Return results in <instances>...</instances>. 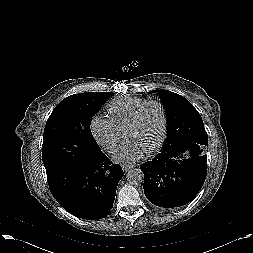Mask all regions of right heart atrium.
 I'll list each match as a JSON object with an SVG mask.
<instances>
[{
  "label": "right heart atrium",
  "instance_id": "d8ad5b80",
  "mask_svg": "<svg viewBox=\"0 0 253 253\" xmlns=\"http://www.w3.org/2000/svg\"><path fill=\"white\" fill-rule=\"evenodd\" d=\"M90 128L96 142L109 153L114 152L122 141V131L110 119L93 117Z\"/></svg>",
  "mask_w": 253,
  "mask_h": 253
}]
</instances>
